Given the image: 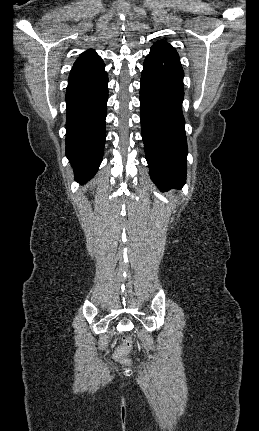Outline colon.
<instances>
[{"label": "colon", "instance_id": "5ec220e1", "mask_svg": "<svg viewBox=\"0 0 259 431\" xmlns=\"http://www.w3.org/2000/svg\"><path fill=\"white\" fill-rule=\"evenodd\" d=\"M132 348V339L130 336H123L121 344L117 347L114 356L115 359L122 363H128L129 360L127 358L128 353Z\"/></svg>", "mask_w": 259, "mask_h": 431}]
</instances>
